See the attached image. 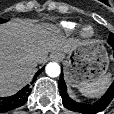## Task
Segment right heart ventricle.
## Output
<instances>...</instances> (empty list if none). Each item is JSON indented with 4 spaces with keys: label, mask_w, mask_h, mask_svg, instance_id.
Segmentation results:
<instances>
[{
    "label": "right heart ventricle",
    "mask_w": 114,
    "mask_h": 114,
    "mask_svg": "<svg viewBox=\"0 0 114 114\" xmlns=\"http://www.w3.org/2000/svg\"><path fill=\"white\" fill-rule=\"evenodd\" d=\"M61 26L67 31H72L75 29L76 25L75 23H72V22H62Z\"/></svg>",
    "instance_id": "right-heart-ventricle-1"
}]
</instances>
